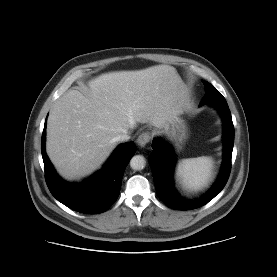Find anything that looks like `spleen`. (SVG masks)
<instances>
[{
  "mask_svg": "<svg viewBox=\"0 0 277 277\" xmlns=\"http://www.w3.org/2000/svg\"><path fill=\"white\" fill-rule=\"evenodd\" d=\"M212 169L213 160L211 157L182 159L177 166V177L184 188L197 191L208 184L212 176Z\"/></svg>",
  "mask_w": 277,
  "mask_h": 277,
  "instance_id": "spleen-1",
  "label": "spleen"
}]
</instances>
